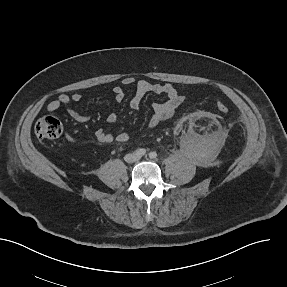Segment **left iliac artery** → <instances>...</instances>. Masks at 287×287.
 Returning a JSON list of instances; mask_svg holds the SVG:
<instances>
[{"mask_svg":"<svg viewBox=\"0 0 287 287\" xmlns=\"http://www.w3.org/2000/svg\"><path fill=\"white\" fill-rule=\"evenodd\" d=\"M149 157L151 158V159H154V158H156L157 157V153L156 152H150L149 153Z\"/></svg>","mask_w":287,"mask_h":287,"instance_id":"1","label":"left iliac artery"}]
</instances>
